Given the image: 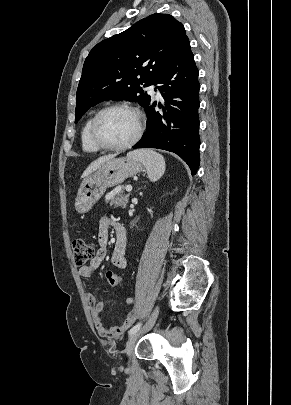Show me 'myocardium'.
Returning <instances> with one entry per match:
<instances>
[{"label":"myocardium","instance_id":"myocardium-1","mask_svg":"<svg viewBox=\"0 0 291 405\" xmlns=\"http://www.w3.org/2000/svg\"><path fill=\"white\" fill-rule=\"evenodd\" d=\"M115 109H124V110L131 111L132 113L135 114V116L137 118V131H136L135 135L128 142L120 144V145L107 144L104 141H102L98 135V124H99L101 117L105 113H107L111 110H115ZM144 128H145V120H144L143 113L141 112V110L139 108H137L136 106H133L131 104H128V103H114V104H110V105L103 107L93 116V119L90 124L89 134H90L91 141L99 149L108 150V151H122V150L131 148L140 140V138L142 137V134L144 132Z\"/></svg>","mask_w":291,"mask_h":405}]
</instances>
